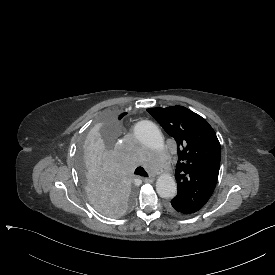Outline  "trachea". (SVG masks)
Instances as JSON below:
<instances>
[{
  "mask_svg": "<svg viewBox=\"0 0 275 275\" xmlns=\"http://www.w3.org/2000/svg\"><path fill=\"white\" fill-rule=\"evenodd\" d=\"M134 174L140 175V176H143V177H148L147 172L142 167L136 168Z\"/></svg>",
  "mask_w": 275,
  "mask_h": 275,
  "instance_id": "obj_1",
  "label": "trachea"
}]
</instances>
